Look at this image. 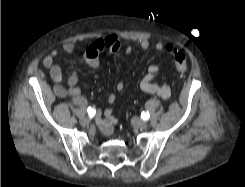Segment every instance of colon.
I'll return each instance as SVG.
<instances>
[{
	"label": "colon",
	"mask_w": 245,
	"mask_h": 187,
	"mask_svg": "<svg viewBox=\"0 0 245 187\" xmlns=\"http://www.w3.org/2000/svg\"><path fill=\"white\" fill-rule=\"evenodd\" d=\"M166 50L172 54L174 67L176 69L177 75L183 77L187 71V61L186 56L174 49L171 45L166 46Z\"/></svg>",
	"instance_id": "5ec220e1"
}]
</instances>
